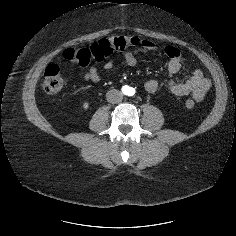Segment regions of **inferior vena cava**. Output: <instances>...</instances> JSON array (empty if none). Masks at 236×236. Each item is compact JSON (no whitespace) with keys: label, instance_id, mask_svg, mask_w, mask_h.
Instances as JSON below:
<instances>
[{"label":"inferior vena cava","instance_id":"obj_1","mask_svg":"<svg viewBox=\"0 0 236 236\" xmlns=\"http://www.w3.org/2000/svg\"><path fill=\"white\" fill-rule=\"evenodd\" d=\"M106 99L109 103H119L123 99V94L121 91L113 89L107 92Z\"/></svg>","mask_w":236,"mask_h":236}]
</instances>
